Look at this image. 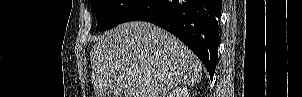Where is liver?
Segmentation results:
<instances>
[{
  "mask_svg": "<svg viewBox=\"0 0 302 97\" xmlns=\"http://www.w3.org/2000/svg\"><path fill=\"white\" fill-rule=\"evenodd\" d=\"M90 61L96 97H165L180 83L194 86L202 79V63L186 45L141 21L100 36Z\"/></svg>",
  "mask_w": 302,
  "mask_h": 97,
  "instance_id": "obj_1",
  "label": "liver"
}]
</instances>
